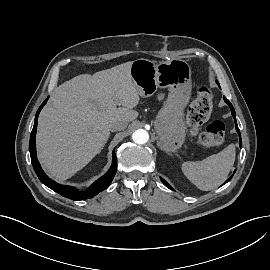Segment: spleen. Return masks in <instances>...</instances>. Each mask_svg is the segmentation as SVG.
<instances>
[{
	"label": "spleen",
	"mask_w": 270,
	"mask_h": 270,
	"mask_svg": "<svg viewBox=\"0 0 270 270\" xmlns=\"http://www.w3.org/2000/svg\"><path fill=\"white\" fill-rule=\"evenodd\" d=\"M235 145L230 144L217 154L202 161L182 163L184 175L200 190L209 191L220 186L227 178L235 161Z\"/></svg>",
	"instance_id": "3e777b00"
}]
</instances>
